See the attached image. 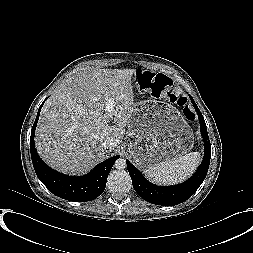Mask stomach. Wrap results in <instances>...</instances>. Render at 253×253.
Segmentation results:
<instances>
[{"label": "stomach", "mask_w": 253, "mask_h": 253, "mask_svg": "<svg viewBox=\"0 0 253 253\" xmlns=\"http://www.w3.org/2000/svg\"><path fill=\"white\" fill-rule=\"evenodd\" d=\"M127 125L134 139L128 151L143 169L177 159L193 145V131L185 117L165 101L135 103Z\"/></svg>", "instance_id": "0dacf381"}]
</instances>
